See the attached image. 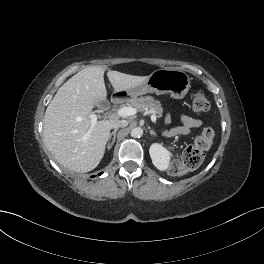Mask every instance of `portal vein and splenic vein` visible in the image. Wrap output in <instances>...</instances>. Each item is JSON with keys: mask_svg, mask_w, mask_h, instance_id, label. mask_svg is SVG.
<instances>
[{"mask_svg": "<svg viewBox=\"0 0 264 264\" xmlns=\"http://www.w3.org/2000/svg\"><path fill=\"white\" fill-rule=\"evenodd\" d=\"M136 113H137V109L134 107H130V106L122 107L117 111V115L121 117L132 116V115H135ZM90 119H91V126L93 127L96 124L98 117L95 114H91ZM151 120L153 123H156L155 113L151 115Z\"/></svg>", "mask_w": 264, "mask_h": 264, "instance_id": "portal-vein-and-splenic-vein-1", "label": "portal vein and splenic vein"}]
</instances>
